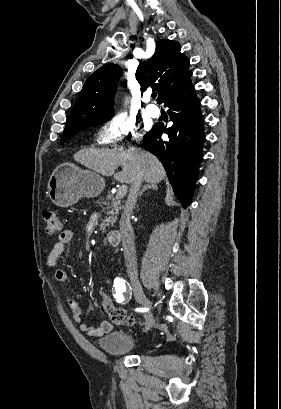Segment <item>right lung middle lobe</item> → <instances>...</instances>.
Instances as JSON below:
<instances>
[{"label": "right lung middle lobe", "instance_id": "dd1d6c3e", "mask_svg": "<svg viewBox=\"0 0 281 409\" xmlns=\"http://www.w3.org/2000/svg\"><path fill=\"white\" fill-rule=\"evenodd\" d=\"M111 117H108V118H105V119H102V120H99V121H96L94 123H91V124H88V125H85V126H81V127H68V128H65L60 143L62 144L64 142H66L72 136H74L75 134L80 132L81 130H84V129L88 128V127L96 126V125H99L101 123H104V122L108 121L109 119H111Z\"/></svg>", "mask_w": 281, "mask_h": 409}]
</instances>
